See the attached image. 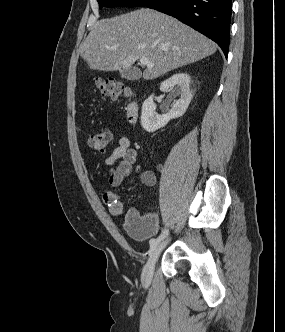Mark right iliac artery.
<instances>
[{
    "label": "right iliac artery",
    "instance_id": "1",
    "mask_svg": "<svg viewBox=\"0 0 285 332\" xmlns=\"http://www.w3.org/2000/svg\"><path fill=\"white\" fill-rule=\"evenodd\" d=\"M169 230L165 229L162 231V233L159 235L157 239H153L150 242V250L149 253L152 254L153 251L156 249L157 245L168 235Z\"/></svg>",
    "mask_w": 285,
    "mask_h": 332
}]
</instances>
